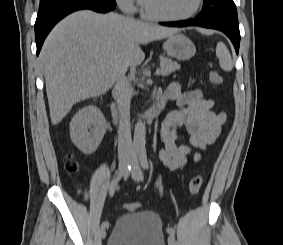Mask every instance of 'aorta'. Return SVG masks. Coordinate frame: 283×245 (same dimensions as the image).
<instances>
[{"label": "aorta", "mask_w": 283, "mask_h": 245, "mask_svg": "<svg viewBox=\"0 0 283 245\" xmlns=\"http://www.w3.org/2000/svg\"><path fill=\"white\" fill-rule=\"evenodd\" d=\"M146 142V127L141 121H138L134 129L133 147L136 151H144Z\"/></svg>", "instance_id": "obj_1"}]
</instances>
